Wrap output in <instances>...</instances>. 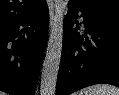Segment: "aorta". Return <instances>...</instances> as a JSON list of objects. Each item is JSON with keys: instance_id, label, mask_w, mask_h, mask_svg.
Returning a JSON list of instances; mask_svg holds the SVG:
<instances>
[{"instance_id": "obj_1", "label": "aorta", "mask_w": 119, "mask_h": 95, "mask_svg": "<svg viewBox=\"0 0 119 95\" xmlns=\"http://www.w3.org/2000/svg\"><path fill=\"white\" fill-rule=\"evenodd\" d=\"M68 0H54L55 14L41 75L40 95H55L63 43V20Z\"/></svg>"}]
</instances>
